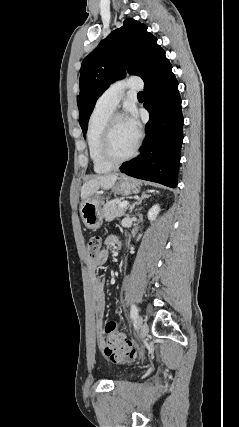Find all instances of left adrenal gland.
<instances>
[{
  "label": "left adrenal gland",
  "instance_id": "obj_1",
  "mask_svg": "<svg viewBox=\"0 0 239 427\" xmlns=\"http://www.w3.org/2000/svg\"><path fill=\"white\" fill-rule=\"evenodd\" d=\"M154 192V191H153ZM151 195L146 194V192H143L140 196V198H138V200L136 202H134L131 206H130V213H132L133 209L135 208L136 205H140L142 203L143 200H145L146 198H149Z\"/></svg>",
  "mask_w": 239,
  "mask_h": 427
}]
</instances>
